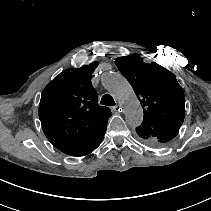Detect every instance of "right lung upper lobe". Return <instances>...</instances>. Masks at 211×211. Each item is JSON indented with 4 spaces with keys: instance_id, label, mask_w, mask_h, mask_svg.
I'll return each instance as SVG.
<instances>
[{
    "instance_id": "right-lung-upper-lobe-1",
    "label": "right lung upper lobe",
    "mask_w": 211,
    "mask_h": 211,
    "mask_svg": "<svg viewBox=\"0 0 211 211\" xmlns=\"http://www.w3.org/2000/svg\"><path fill=\"white\" fill-rule=\"evenodd\" d=\"M98 62L65 70L43 90L39 118L47 139L54 147L96 136L112 115L108 107L98 105L91 75Z\"/></svg>"
}]
</instances>
